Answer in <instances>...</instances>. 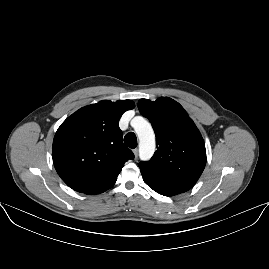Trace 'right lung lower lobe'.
<instances>
[{
  "label": "right lung lower lobe",
  "instance_id": "98d812e1",
  "mask_svg": "<svg viewBox=\"0 0 269 269\" xmlns=\"http://www.w3.org/2000/svg\"><path fill=\"white\" fill-rule=\"evenodd\" d=\"M106 191V190H105ZM102 192H104V191H102ZM102 192H98V193H94V194H99V193H102Z\"/></svg>",
  "mask_w": 269,
  "mask_h": 269
}]
</instances>
